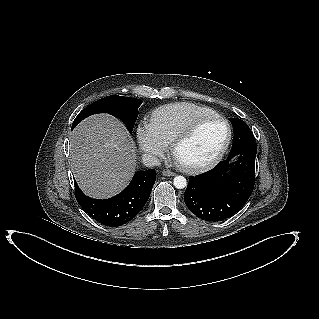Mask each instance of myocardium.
I'll use <instances>...</instances> for the list:
<instances>
[{"instance_id":"myocardium-1","label":"myocardium","mask_w":319,"mask_h":319,"mask_svg":"<svg viewBox=\"0 0 319 319\" xmlns=\"http://www.w3.org/2000/svg\"><path fill=\"white\" fill-rule=\"evenodd\" d=\"M219 120L221 121L225 127H226V137L219 148V150L215 153L213 157H211L209 160L199 163V164H185L177 160L175 153L179 145H181L183 142H185L187 139H189L193 133L196 131V129L204 122H207L209 120ZM232 139V128L230 123L226 118L223 116L214 113L209 115H204L195 118L192 120L183 130H181L171 141L170 143V153L175 160L176 164L185 172L188 173H200L204 172L206 170H209L210 168L214 167L220 160L223 158L224 154L226 153Z\"/></svg>"}]
</instances>
